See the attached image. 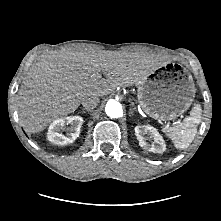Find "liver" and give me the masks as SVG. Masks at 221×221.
Returning a JSON list of instances; mask_svg holds the SVG:
<instances>
[{"label": "liver", "mask_w": 221, "mask_h": 221, "mask_svg": "<svg viewBox=\"0 0 221 221\" xmlns=\"http://www.w3.org/2000/svg\"><path fill=\"white\" fill-rule=\"evenodd\" d=\"M159 65L156 56L141 52L53 51L34 64L22 82L21 124L30 133L41 132L54 119L74 112L85 97L132 86Z\"/></svg>", "instance_id": "liver-1"}]
</instances>
